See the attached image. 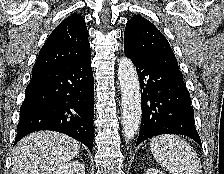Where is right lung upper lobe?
Returning a JSON list of instances; mask_svg holds the SVG:
<instances>
[{
  "label": "right lung upper lobe",
  "instance_id": "cb5924a9",
  "mask_svg": "<svg viewBox=\"0 0 224 174\" xmlns=\"http://www.w3.org/2000/svg\"><path fill=\"white\" fill-rule=\"evenodd\" d=\"M90 57V44L84 19L79 14L64 19L41 48L32 72Z\"/></svg>",
  "mask_w": 224,
  "mask_h": 174
}]
</instances>
